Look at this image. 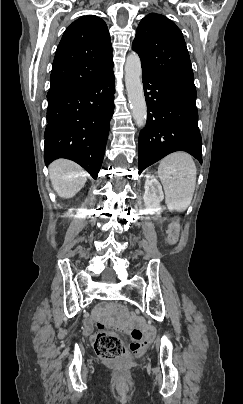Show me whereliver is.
<instances>
[{"label":"liver","instance_id":"1","mask_svg":"<svg viewBox=\"0 0 243 404\" xmlns=\"http://www.w3.org/2000/svg\"><path fill=\"white\" fill-rule=\"evenodd\" d=\"M51 184L60 198H73L85 186L88 178L80 166L70 160H56L49 168Z\"/></svg>","mask_w":243,"mask_h":404}]
</instances>
